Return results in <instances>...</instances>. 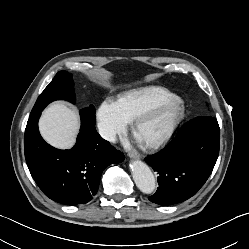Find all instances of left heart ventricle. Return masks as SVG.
<instances>
[{
	"label": "left heart ventricle",
	"mask_w": 249,
	"mask_h": 249,
	"mask_svg": "<svg viewBox=\"0 0 249 249\" xmlns=\"http://www.w3.org/2000/svg\"><path fill=\"white\" fill-rule=\"evenodd\" d=\"M174 117L172 107H164L148 118L138 128L137 134L142 141H149L162 134Z\"/></svg>",
	"instance_id": "b2bd125f"
}]
</instances>
